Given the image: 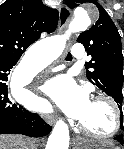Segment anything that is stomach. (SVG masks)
Returning a JSON list of instances; mask_svg holds the SVG:
<instances>
[{
  "label": "stomach",
  "mask_w": 124,
  "mask_h": 149,
  "mask_svg": "<svg viewBox=\"0 0 124 149\" xmlns=\"http://www.w3.org/2000/svg\"><path fill=\"white\" fill-rule=\"evenodd\" d=\"M110 147H111L110 144L95 143V142H89L86 140H82L79 144V149H112Z\"/></svg>",
  "instance_id": "stomach-1"
}]
</instances>
